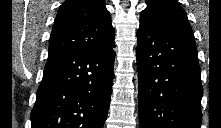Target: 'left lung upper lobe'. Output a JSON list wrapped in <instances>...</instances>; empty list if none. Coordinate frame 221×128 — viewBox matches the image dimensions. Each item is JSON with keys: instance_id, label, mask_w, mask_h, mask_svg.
Listing matches in <instances>:
<instances>
[{"instance_id": "obj_1", "label": "left lung upper lobe", "mask_w": 221, "mask_h": 128, "mask_svg": "<svg viewBox=\"0 0 221 128\" xmlns=\"http://www.w3.org/2000/svg\"><path fill=\"white\" fill-rule=\"evenodd\" d=\"M140 21L150 22L195 41L186 13L174 0H147Z\"/></svg>"}]
</instances>
